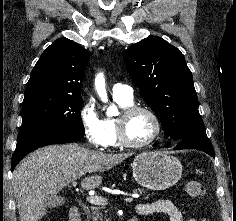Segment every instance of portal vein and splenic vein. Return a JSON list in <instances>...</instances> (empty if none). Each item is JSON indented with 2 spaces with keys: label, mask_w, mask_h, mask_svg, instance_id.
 <instances>
[{
  "label": "portal vein and splenic vein",
  "mask_w": 236,
  "mask_h": 221,
  "mask_svg": "<svg viewBox=\"0 0 236 221\" xmlns=\"http://www.w3.org/2000/svg\"><path fill=\"white\" fill-rule=\"evenodd\" d=\"M77 182L73 181L72 182V186H76ZM87 201L90 202L91 204L94 205H101V206H105L108 204V201L106 198L102 197V196H87ZM134 198L133 197H126L124 198L125 202H133Z\"/></svg>",
  "instance_id": "18ae733b"
}]
</instances>
